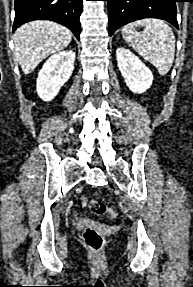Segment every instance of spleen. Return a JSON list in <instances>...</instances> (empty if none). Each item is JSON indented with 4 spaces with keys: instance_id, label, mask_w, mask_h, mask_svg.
<instances>
[{
    "instance_id": "1",
    "label": "spleen",
    "mask_w": 193,
    "mask_h": 287,
    "mask_svg": "<svg viewBox=\"0 0 193 287\" xmlns=\"http://www.w3.org/2000/svg\"><path fill=\"white\" fill-rule=\"evenodd\" d=\"M137 27L144 30L137 32ZM124 40L145 60L166 75L175 57V36L172 29L161 19H143L125 25L121 30Z\"/></svg>"
}]
</instances>
